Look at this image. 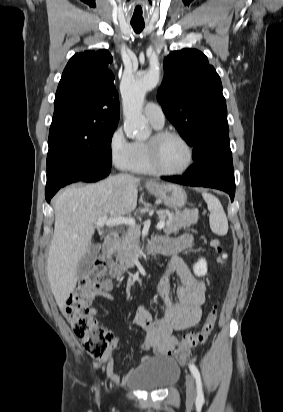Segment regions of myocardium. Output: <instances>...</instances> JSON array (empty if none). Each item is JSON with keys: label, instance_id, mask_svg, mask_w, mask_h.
<instances>
[{"label": "myocardium", "instance_id": "myocardium-1", "mask_svg": "<svg viewBox=\"0 0 283 412\" xmlns=\"http://www.w3.org/2000/svg\"><path fill=\"white\" fill-rule=\"evenodd\" d=\"M168 137L177 138L186 146L188 150V161L186 165L178 171L164 170L161 168L159 161H158V152H159L160 144L164 139ZM147 152H148L149 162H150V165L154 173L163 175V176H179V175L185 174L191 169V167L194 164V160H195L194 148L192 144L190 143V141L185 136H183L181 133L174 131V130H168V129L157 130L147 141Z\"/></svg>", "mask_w": 283, "mask_h": 412}]
</instances>
